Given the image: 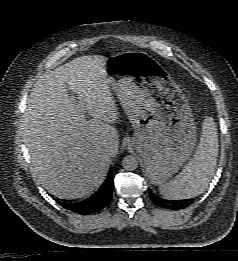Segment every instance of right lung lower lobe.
Instances as JSON below:
<instances>
[{"mask_svg": "<svg viewBox=\"0 0 238 261\" xmlns=\"http://www.w3.org/2000/svg\"><path fill=\"white\" fill-rule=\"evenodd\" d=\"M114 188L112 169L108 173L105 182L97 192L89 198L78 202H61L56 200L61 206L78 214H91L103 209L112 199V191Z\"/></svg>", "mask_w": 238, "mask_h": 261, "instance_id": "obj_1", "label": "right lung lower lobe"}]
</instances>
